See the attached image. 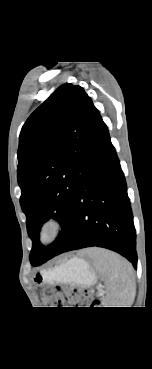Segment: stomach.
I'll list each match as a JSON object with an SVG mask.
<instances>
[{
    "label": "stomach",
    "instance_id": "obj_1",
    "mask_svg": "<svg viewBox=\"0 0 152 369\" xmlns=\"http://www.w3.org/2000/svg\"><path fill=\"white\" fill-rule=\"evenodd\" d=\"M37 284L64 282L75 286L89 287L96 282V274L83 259L71 258L60 262L55 268L34 276Z\"/></svg>",
    "mask_w": 152,
    "mask_h": 369
}]
</instances>
